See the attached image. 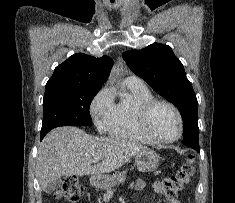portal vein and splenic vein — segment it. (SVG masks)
<instances>
[{
  "label": "portal vein and splenic vein",
  "mask_w": 235,
  "mask_h": 203,
  "mask_svg": "<svg viewBox=\"0 0 235 203\" xmlns=\"http://www.w3.org/2000/svg\"><path fill=\"white\" fill-rule=\"evenodd\" d=\"M93 162L97 163V162H99V159H98V158H96V159H94V161H93Z\"/></svg>",
  "instance_id": "18ae733b"
}]
</instances>
